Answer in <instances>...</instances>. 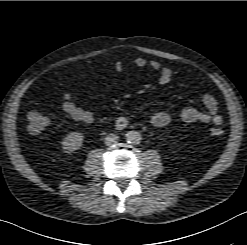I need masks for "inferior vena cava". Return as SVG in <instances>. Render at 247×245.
<instances>
[{"mask_svg":"<svg viewBox=\"0 0 247 245\" xmlns=\"http://www.w3.org/2000/svg\"><path fill=\"white\" fill-rule=\"evenodd\" d=\"M118 140H119V136L111 133L105 137V144L106 145H113V144H116L118 142Z\"/></svg>","mask_w":247,"mask_h":245,"instance_id":"obj_1","label":"inferior vena cava"}]
</instances>
